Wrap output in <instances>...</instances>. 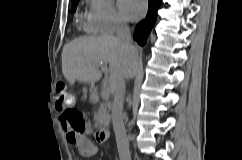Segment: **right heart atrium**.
Returning a JSON list of instances; mask_svg holds the SVG:
<instances>
[{
	"instance_id": "right-heart-atrium-1",
	"label": "right heart atrium",
	"mask_w": 242,
	"mask_h": 160,
	"mask_svg": "<svg viewBox=\"0 0 242 160\" xmlns=\"http://www.w3.org/2000/svg\"><path fill=\"white\" fill-rule=\"evenodd\" d=\"M89 5L90 27L94 32L109 35L126 26L112 0H89Z\"/></svg>"
}]
</instances>
